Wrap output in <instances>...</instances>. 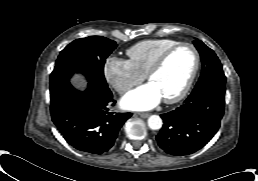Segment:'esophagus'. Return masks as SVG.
Returning a JSON list of instances; mask_svg holds the SVG:
<instances>
[{"label": "esophagus", "instance_id": "esophagus-1", "mask_svg": "<svg viewBox=\"0 0 258 181\" xmlns=\"http://www.w3.org/2000/svg\"><path fill=\"white\" fill-rule=\"evenodd\" d=\"M138 115L142 118H147L150 115V113H139Z\"/></svg>", "mask_w": 258, "mask_h": 181}]
</instances>
